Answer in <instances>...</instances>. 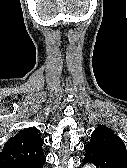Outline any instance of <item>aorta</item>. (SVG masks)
<instances>
[{
	"label": "aorta",
	"mask_w": 127,
	"mask_h": 168,
	"mask_svg": "<svg viewBox=\"0 0 127 168\" xmlns=\"http://www.w3.org/2000/svg\"><path fill=\"white\" fill-rule=\"evenodd\" d=\"M85 168H91V166H90V165H87Z\"/></svg>",
	"instance_id": "762f6f07"
}]
</instances>
